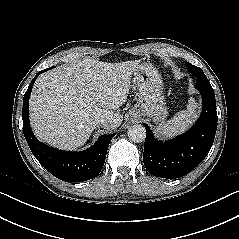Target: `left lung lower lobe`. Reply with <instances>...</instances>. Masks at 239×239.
Segmentation results:
<instances>
[{
  "label": "left lung lower lobe",
  "mask_w": 239,
  "mask_h": 239,
  "mask_svg": "<svg viewBox=\"0 0 239 239\" xmlns=\"http://www.w3.org/2000/svg\"><path fill=\"white\" fill-rule=\"evenodd\" d=\"M203 100L202 114L194 126L175 139L160 142L154 139L147 125L143 162L154 176L176 179L187 175L209 153L216 129L217 112L215 93L210 82L197 81Z\"/></svg>",
  "instance_id": "0a47b994"
}]
</instances>
